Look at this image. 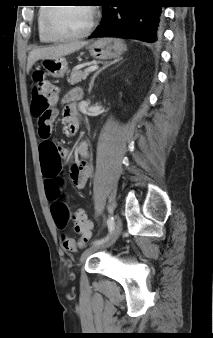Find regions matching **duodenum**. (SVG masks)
<instances>
[{"label": "duodenum", "instance_id": "1", "mask_svg": "<svg viewBox=\"0 0 213 338\" xmlns=\"http://www.w3.org/2000/svg\"><path fill=\"white\" fill-rule=\"evenodd\" d=\"M78 128V123L77 121H73L72 124H71V134L75 133V131L77 130Z\"/></svg>", "mask_w": 213, "mask_h": 338}]
</instances>
